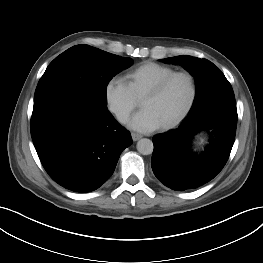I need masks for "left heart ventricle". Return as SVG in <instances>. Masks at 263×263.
<instances>
[{"label":"left heart ventricle","instance_id":"b2bd125f","mask_svg":"<svg viewBox=\"0 0 263 263\" xmlns=\"http://www.w3.org/2000/svg\"><path fill=\"white\" fill-rule=\"evenodd\" d=\"M190 94L191 87L187 78L177 77L167 85L160 95L143 100L141 107L150 110L163 125L182 112L189 101Z\"/></svg>","mask_w":263,"mask_h":263}]
</instances>
